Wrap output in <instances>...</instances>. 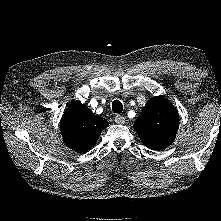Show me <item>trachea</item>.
I'll return each mask as SVG.
<instances>
[{
  "label": "trachea",
  "mask_w": 221,
  "mask_h": 221,
  "mask_svg": "<svg viewBox=\"0 0 221 221\" xmlns=\"http://www.w3.org/2000/svg\"><path fill=\"white\" fill-rule=\"evenodd\" d=\"M112 110L114 113H122L123 105L119 100H114L112 102Z\"/></svg>",
  "instance_id": "1"
}]
</instances>
